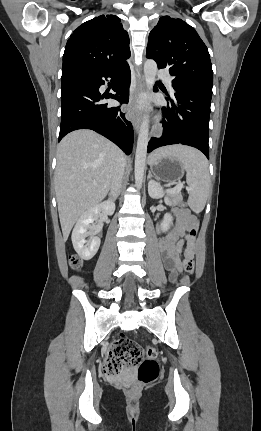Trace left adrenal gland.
<instances>
[{
    "mask_svg": "<svg viewBox=\"0 0 261 431\" xmlns=\"http://www.w3.org/2000/svg\"><path fill=\"white\" fill-rule=\"evenodd\" d=\"M151 177H152V174H151V172L149 171L148 178H151Z\"/></svg>",
    "mask_w": 261,
    "mask_h": 431,
    "instance_id": "a2214340",
    "label": "left adrenal gland"
}]
</instances>
